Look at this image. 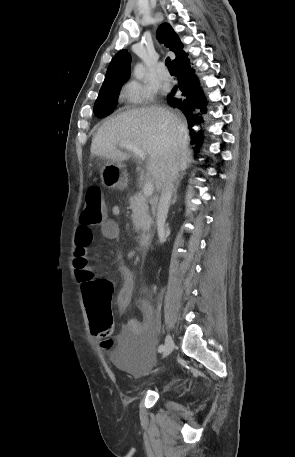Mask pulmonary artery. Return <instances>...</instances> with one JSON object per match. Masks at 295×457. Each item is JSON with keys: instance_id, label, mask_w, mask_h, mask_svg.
I'll return each mask as SVG.
<instances>
[{"instance_id": "pulmonary-artery-1", "label": "pulmonary artery", "mask_w": 295, "mask_h": 457, "mask_svg": "<svg viewBox=\"0 0 295 457\" xmlns=\"http://www.w3.org/2000/svg\"><path fill=\"white\" fill-rule=\"evenodd\" d=\"M160 79L163 81H168L170 79L169 72L165 69V66L162 65L159 70Z\"/></svg>"}]
</instances>
